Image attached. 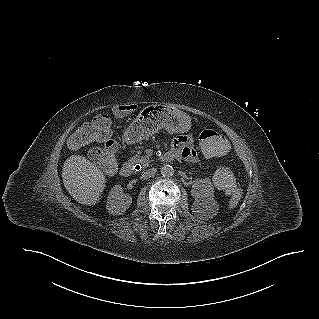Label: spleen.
Wrapping results in <instances>:
<instances>
[{
    "instance_id": "spleen-1",
    "label": "spleen",
    "mask_w": 319,
    "mask_h": 319,
    "mask_svg": "<svg viewBox=\"0 0 319 319\" xmlns=\"http://www.w3.org/2000/svg\"><path fill=\"white\" fill-rule=\"evenodd\" d=\"M241 197H242V189L237 188L233 192V194H232V196L230 198L228 209L229 210L234 209L237 206V204L239 203Z\"/></svg>"
}]
</instances>
